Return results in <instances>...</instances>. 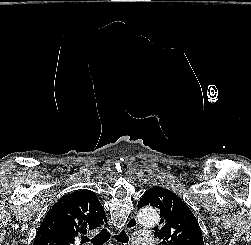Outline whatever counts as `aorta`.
<instances>
[{
  "label": "aorta",
  "instance_id": "1",
  "mask_svg": "<svg viewBox=\"0 0 251 245\" xmlns=\"http://www.w3.org/2000/svg\"><path fill=\"white\" fill-rule=\"evenodd\" d=\"M139 219L143 226L153 227L159 222V214L153 207H145L139 212Z\"/></svg>",
  "mask_w": 251,
  "mask_h": 245
}]
</instances>
